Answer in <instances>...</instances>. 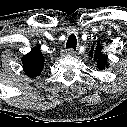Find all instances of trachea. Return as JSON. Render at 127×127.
Wrapping results in <instances>:
<instances>
[{"label": "trachea", "mask_w": 127, "mask_h": 127, "mask_svg": "<svg viewBox=\"0 0 127 127\" xmlns=\"http://www.w3.org/2000/svg\"><path fill=\"white\" fill-rule=\"evenodd\" d=\"M77 46V39L76 36L74 34L69 35L67 43H66V47L67 48H72V49H76Z\"/></svg>", "instance_id": "1"}]
</instances>
